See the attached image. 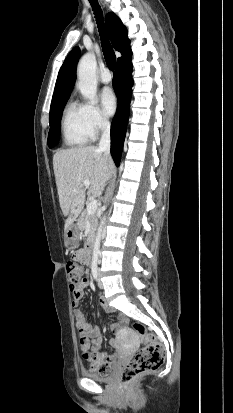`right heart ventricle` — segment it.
<instances>
[{
    "label": "right heart ventricle",
    "mask_w": 233,
    "mask_h": 413,
    "mask_svg": "<svg viewBox=\"0 0 233 413\" xmlns=\"http://www.w3.org/2000/svg\"><path fill=\"white\" fill-rule=\"evenodd\" d=\"M63 142L68 147H81L94 137L85 118L84 105L71 101L65 108L61 121Z\"/></svg>",
    "instance_id": "1"
}]
</instances>
